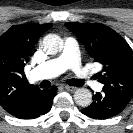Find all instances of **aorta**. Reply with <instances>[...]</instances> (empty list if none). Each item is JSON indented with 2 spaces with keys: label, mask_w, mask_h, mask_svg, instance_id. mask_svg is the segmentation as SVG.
Segmentation results:
<instances>
[{
  "label": "aorta",
  "mask_w": 133,
  "mask_h": 133,
  "mask_svg": "<svg viewBox=\"0 0 133 133\" xmlns=\"http://www.w3.org/2000/svg\"><path fill=\"white\" fill-rule=\"evenodd\" d=\"M42 45L47 54L55 55L62 49V40L58 35L49 34L44 37ZM74 100L80 106H88L92 102V93L89 89L79 88L74 92Z\"/></svg>",
  "instance_id": "762f6f07"
}]
</instances>
